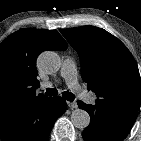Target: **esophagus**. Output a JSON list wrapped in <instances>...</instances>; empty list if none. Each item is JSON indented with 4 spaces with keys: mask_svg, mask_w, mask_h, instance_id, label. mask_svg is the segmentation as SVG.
<instances>
[{
    "mask_svg": "<svg viewBox=\"0 0 141 141\" xmlns=\"http://www.w3.org/2000/svg\"><path fill=\"white\" fill-rule=\"evenodd\" d=\"M67 105L70 109H76L78 107L77 103L75 101L73 102H67Z\"/></svg>",
    "mask_w": 141,
    "mask_h": 141,
    "instance_id": "1",
    "label": "esophagus"
}]
</instances>
